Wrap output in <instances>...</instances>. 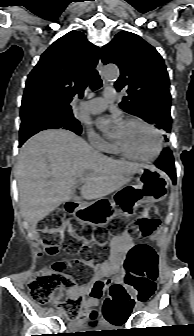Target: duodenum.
<instances>
[{
	"label": "duodenum",
	"instance_id": "duodenum-1",
	"mask_svg": "<svg viewBox=\"0 0 194 336\" xmlns=\"http://www.w3.org/2000/svg\"><path fill=\"white\" fill-rule=\"evenodd\" d=\"M77 207H78V204H76L75 202H69L67 204V209L69 211H74Z\"/></svg>",
	"mask_w": 194,
	"mask_h": 336
}]
</instances>
